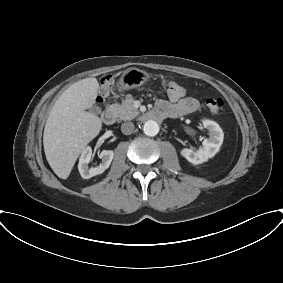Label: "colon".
<instances>
[{"label": "colon", "mask_w": 283, "mask_h": 283, "mask_svg": "<svg viewBox=\"0 0 283 283\" xmlns=\"http://www.w3.org/2000/svg\"><path fill=\"white\" fill-rule=\"evenodd\" d=\"M112 86V78L107 77L103 80L98 100L100 102L104 101L110 94ZM163 88L166 91L167 95L173 99L181 98L185 91L184 88L178 83L172 80H164ZM206 108L213 114H220L223 111L224 102L220 97H207L204 100Z\"/></svg>", "instance_id": "5ec220e1"}]
</instances>
